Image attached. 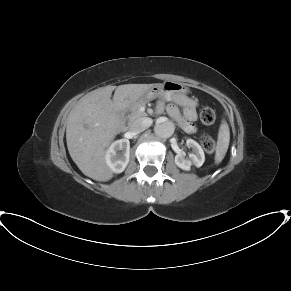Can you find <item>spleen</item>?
<instances>
[{
    "label": "spleen",
    "mask_w": 291,
    "mask_h": 291,
    "mask_svg": "<svg viewBox=\"0 0 291 291\" xmlns=\"http://www.w3.org/2000/svg\"><path fill=\"white\" fill-rule=\"evenodd\" d=\"M230 142V130L227 122L223 119L218 131V139L215 151V164L218 165L224 159Z\"/></svg>",
    "instance_id": "3e777b00"
}]
</instances>
